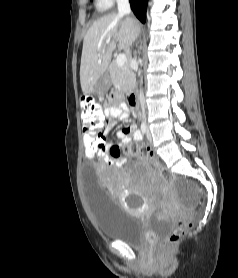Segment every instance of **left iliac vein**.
Returning <instances> with one entry per match:
<instances>
[{
  "instance_id": "1",
  "label": "left iliac vein",
  "mask_w": 238,
  "mask_h": 278,
  "mask_svg": "<svg viewBox=\"0 0 238 278\" xmlns=\"http://www.w3.org/2000/svg\"><path fill=\"white\" fill-rule=\"evenodd\" d=\"M146 135H147V139H148V140H151V133H150V131H149L148 128H147V130H146Z\"/></svg>"
}]
</instances>
